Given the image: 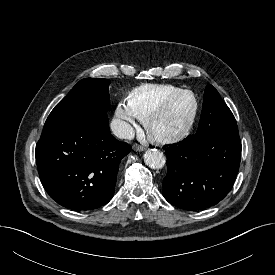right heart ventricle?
<instances>
[{
  "mask_svg": "<svg viewBox=\"0 0 275 275\" xmlns=\"http://www.w3.org/2000/svg\"><path fill=\"white\" fill-rule=\"evenodd\" d=\"M181 88L172 84H142L127 96V105L139 119L146 115L170 94Z\"/></svg>",
  "mask_w": 275,
  "mask_h": 275,
  "instance_id": "1",
  "label": "right heart ventricle"
}]
</instances>
